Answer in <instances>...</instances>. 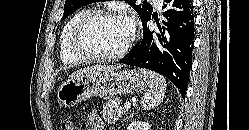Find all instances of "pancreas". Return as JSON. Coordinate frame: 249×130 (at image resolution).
Returning <instances> with one entry per match:
<instances>
[{"label": "pancreas", "instance_id": "1", "mask_svg": "<svg viewBox=\"0 0 249 130\" xmlns=\"http://www.w3.org/2000/svg\"><path fill=\"white\" fill-rule=\"evenodd\" d=\"M121 98L109 99L103 106L101 113L103 114V118L109 124H114L118 121L119 117H121L125 112V108L122 106Z\"/></svg>", "mask_w": 249, "mask_h": 130}]
</instances>
